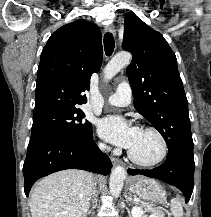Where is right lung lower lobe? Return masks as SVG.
Listing matches in <instances>:
<instances>
[{"instance_id":"98d812e1","label":"right lung lower lobe","mask_w":211,"mask_h":217,"mask_svg":"<svg viewBox=\"0 0 211 217\" xmlns=\"http://www.w3.org/2000/svg\"><path fill=\"white\" fill-rule=\"evenodd\" d=\"M112 163L91 138L86 142L51 133L31 134L23 165L25 194L36 180L65 169H81L107 175Z\"/></svg>"}]
</instances>
